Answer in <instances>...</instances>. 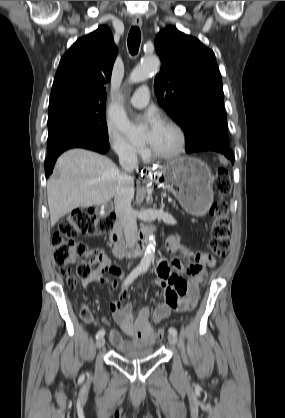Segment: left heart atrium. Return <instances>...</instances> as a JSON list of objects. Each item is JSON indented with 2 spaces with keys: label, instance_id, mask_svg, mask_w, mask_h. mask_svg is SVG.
<instances>
[{
  "label": "left heart atrium",
  "instance_id": "obj_1",
  "mask_svg": "<svg viewBox=\"0 0 285 418\" xmlns=\"http://www.w3.org/2000/svg\"><path fill=\"white\" fill-rule=\"evenodd\" d=\"M137 123L146 124L149 128L150 142L158 135L164 127L162 119L154 112H148L136 118Z\"/></svg>",
  "mask_w": 285,
  "mask_h": 418
}]
</instances>
